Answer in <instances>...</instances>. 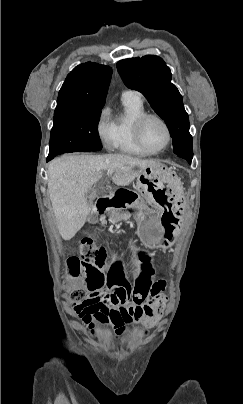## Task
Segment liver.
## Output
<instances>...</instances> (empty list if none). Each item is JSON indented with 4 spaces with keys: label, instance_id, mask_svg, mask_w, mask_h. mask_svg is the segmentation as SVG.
<instances>
[{
    "label": "liver",
    "instance_id": "1",
    "mask_svg": "<svg viewBox=\"0 0 243 404\" xmlns=\"http://www.w3.org/2000/svg\"><path fill=\"white\" fill-rule=\"evenodd\" d=\"M154 160H141L125 154L106 156H61L48 166V192L63 240H71L83 228L88 216L86 192L99 182L106 170H113L116 186H129L137 170L156 166Z\"/></svg>",
    "mask_w": 243,
    "mask_h": 404
}]
</instances>
